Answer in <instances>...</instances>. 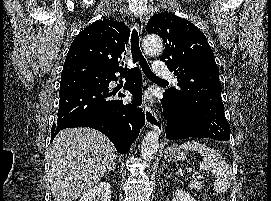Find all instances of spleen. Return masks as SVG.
I'll list each match as a JSON object with an SVG mask.
<instances>
[{"mask_svg":"<svg viewBox=\"0 0 271 201\" xmlns=\"http://www.w3.org/2000/svg\"><path fill=\"white\" fill-rule=\"evenodd\" d=\"M179 149L197 151L204 156L202 162L199 164V169L211 172L216 176L214 183L216 193L221 194L229 189L232 181V170L218 152L205 144L195 141L184 142L179 146Z\"/></svg>","mask_w":271,"mask_h":201,"instance_id":"obj_1","label":"spleen"}]
</instances>
